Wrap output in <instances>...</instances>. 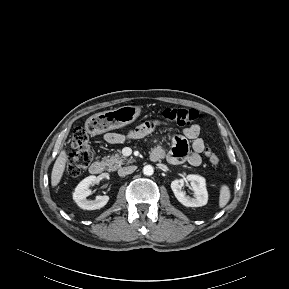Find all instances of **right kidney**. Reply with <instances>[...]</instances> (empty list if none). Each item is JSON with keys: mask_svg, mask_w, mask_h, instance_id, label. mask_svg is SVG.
Segmentation results:
<instances>
[{"mask_svg": "<svg viewBox=\"0 0 289 289\" xmlns=\"http://www.w3.org/2000/svg\"><path fill=\"white\" fill-rule=\"evenodd\" d=\"M97 182L96 176H88L83 179L75 188L73 193V200L76 204L84 210H96L104 207L108 201L109 197L104 196H97L94 200H87L86 197L91 194V191L88 189L91 184Z\"/></svg>", "mask_w": 289, "mask_h": 289, "instance_id": "ca27d5eb", "label": "right kidney"}]
</instances>
